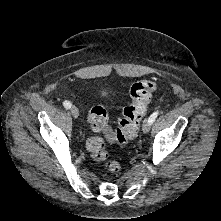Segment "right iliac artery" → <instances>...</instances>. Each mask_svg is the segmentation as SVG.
I'll return each mask as SVG.
<instances>
[{
	"instance_id": "obj_1",
	"label": "right iliac artery",
	"mask_w": 221,
	"mask_h": 221,
	"mask_svg": "<svg viewBox=\"0 0 221 221\" xmlns=\"http://www.w3.org/2000/svg\"><path fill=\"white\" fill-rule=\"evenodd\" d=\"M63 105H64V107H65L66 109H70L71 106H72V104H71L69 101H67V100L63 102Z\"/></svg>"
}]
</instances>
